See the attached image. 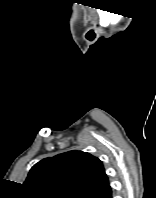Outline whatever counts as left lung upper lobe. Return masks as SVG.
I'll list each match as a JSON object with an SVG mask.
<instances>
[{
	"mask_svg": "<svg viewBox=\"0 0 156 198\" xmlns=\"http://www.w3.org/2000/svg\"><path fill=\"white\" fill-rule=\"evenodd\" d=\"M24 185L30 198H94L109 180L97 157L69 151L36 163Z\"/></svg>",
	"mask_w": 156,
	"mask_h": 198,
	"instance_id": "1",
	"label": "left lung upper lobe"
}]
</instances>
